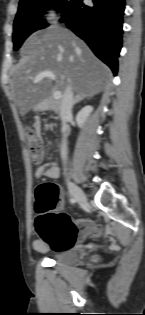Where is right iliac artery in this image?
Returning a JSON list of instances; mask_svg holds the SVG:
<instances>
[{"label":"right iliac artery","instance_id":"obj_1","mask_svg":"<svg viewBox=\"0 0 145 315\" xmlns=\"http://www.w3.org/2000/svg\"><path fill=\"white\" fill-rule=\"evenodd\" d=\"M70 202H71V203H75V202H76V199H75V198H71V199H70Z\"/></svg>","mask_w":145,"mask_h":315}]
</instances>
